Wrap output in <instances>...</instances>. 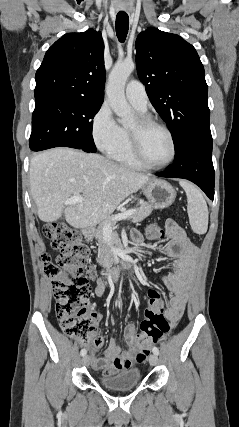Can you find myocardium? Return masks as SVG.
<instances>
[{
  "label": "myocardium",
  "mask_w": 239,
  "mask_h": 427,
  "mask_svg": "<svg viewBox=\"0 0 239 427\" xmlns=\"http://www.w3.org/2000/svg\"><path fill=\"white\" fill-rule=\"evenodd\" d=\"M137 123H138V125L136 128H134V129L127 128L130 149H131L132 155L136 159V161L139 164H141L143 167L148 168V169H161V168H164V167L168 166L169 164H171L177 155V144H176V141H175V138H174L172 132L165 125H163L162 123L156 121L152 117L145 115V114L138 115ZM151 127L158 128V129L162 130L168 136V138L171 142V146H172L171 156L168 160H166L165 162H163L161 164H152V163L148 162L142 153V147H141L142 131L147 129V128H151Z\"/></svg>",
  "instance_id": "myocardium-1"
}]
</instances>
